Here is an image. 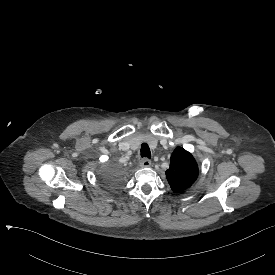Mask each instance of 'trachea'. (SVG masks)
<instances>
[{
	"label": "trachea",
	"mask_w": 275,
	"mask_h": 275,
	"mask_svg": "<svg viewBox=\"0 0 275 275\" xmlns=\"http://www.w3.org/2000/svg\"><path fill=\"white\" fill-rule=\"evenodd\" d=\"M141 157H147V158H151V151L149 149V146L147 145V143H142L141 144Z\"/></svg>",
	"instance_id": "obj_1"
}]
</instances>
